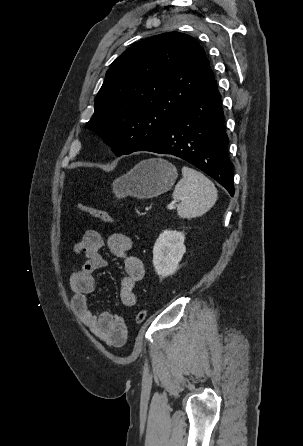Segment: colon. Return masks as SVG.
I'll return each instance as SVG.
<instances>
[{"instance_id": "5ec220e1", "label": "colon", "mask_w": 303, "mask_h": 446, "mask_svg": "<svg viewBox=\"0 0 303 446\" xmlns=\"http://www.w3.org/2000/svg\"><path fill=\"white\" fill-rule=\"evenodd\" d=\"M77 207L80 211L90 215L93 218L99 219L105 224L111 225L114 223L113 217L109 214L108 211L97 208L94 206L87 205L85 203H78ZM148 312L146 309H141L136 315V322L142 323L147 318Z\"/></svg>"}]
</instances>
